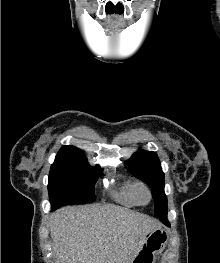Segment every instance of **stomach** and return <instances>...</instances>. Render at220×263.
<instances>
[{
	"label": "stomach",
	"instance_id": "1",
	"mask_svg": "<svg viewBox=\"0 0 220 263\" xmlns=\"http://www.w3.org/2000/svg\"><path fill=\"white\" fill-rule=\"evenodd\" d=\"M168 240V233L162 228L149 231L141 249L131 263H155L156 255L165 249Z\"/></svg>",
	"mask_w": 220,
	"mask_h": 263
}]
</instances>
